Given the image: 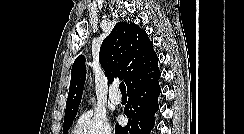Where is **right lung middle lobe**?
Returning <instances> with one entry per match:
<instances>
[{
	"label": "right lung middle lobe",
	"mask_w": 244,
	"mask_h": 134,
	"mask_svg": "<svg viewBox=\"0 0 244 134\" xmlns=\"http://www.w3.org/2000/svg\"><path fill=\"white\" fill-rule=\"evenodd\" d=\"M74 118H75V115L71 116V117L64 118L63 134L68 133V130H69L71 124L73 123Z\"/></svg>",
	"instance_id": "obj_1"
}]
</instances>
